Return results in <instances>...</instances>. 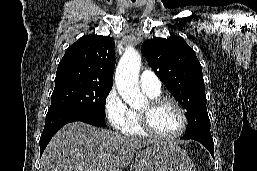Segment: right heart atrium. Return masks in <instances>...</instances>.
I'll return each instance as SVG.
<instances>
[{"instance_id": "d8ad5b80", "label": "right heart atrium", "mask_w": 257, "mask_h": 171, "mask_svg": "<svg viewBox=\"0 0 257 171\" xmlns=\"http://www.w3.org/2000/svg\"><path fill=\"white\" fill-rule=\"evenodd\" d=\"M104 111L109 124L115 130L124 132L128 128L132 111L115 88L105 98Z\"/></svg>"}]
</instances>
